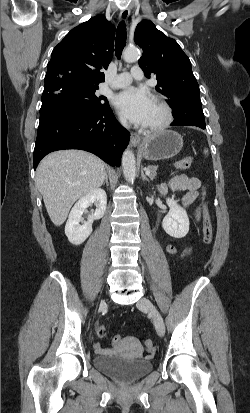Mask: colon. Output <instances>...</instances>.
Masks as SVG:
<instances>
[{
  "label": "colon",
  "mask_w": 250,
  "mask_h": 413,
  "mask_svg": "<svg viewBox=\"0 0 250 413\" xmlns=\"http://www.w3.org/2000/svg\"><path fill=\"white\" fill-rule=\"evenodd\" d=\"M193 159L191 157H185L180 160H178L175 163V167L179 170H186L192 165ZM203 204H202V213H203V240L204 243L210 244L213 239V232H212V224H211V219L209 215V210L207 203L205 201V191H203ZM108 333V329L104 325H100L97 328V334L99 337H105ZM122 339V336L119 333H116L114 336L111 337V344L112 348H117V346L120 344V340ZM145 347L146 350L149 353H152L154 350V344L152 340H146L145 341Z\"/></svg>",
  "instance_id": "obj_1"
}]
</instances>
